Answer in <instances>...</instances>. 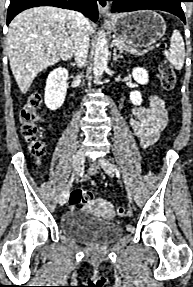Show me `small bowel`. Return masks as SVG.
Returning <instances> with one entry per match:
<instances>
[{"mask_svg": "<svg viewBox=\"0 0 193 287\" xmlns=\"http://www.w3.org/2000/svg\"><path fill=\"white\" fill-rule=\"evenodd\" d=\"M133 115L129 124L142 145L146 147L154 143L167 122V113L161 98L150 95L146 105L134 107Z\"/></svg>", "mask_w": 193, "mask_h": 287, "instance_id": "c3829d8e", "label": "small bowel"}]
</instances>
